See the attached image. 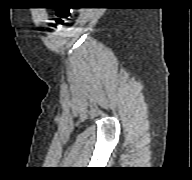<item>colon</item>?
I'll return each instance as SVG.
<instances>
[{
  "instance_id": "5ec220e1",
  "label": "colon",
  "mask_w": 192,
  "mask_h": 180,
  "mask_svg": "<svg viewBox=\"0 0 192 180\" xmlns=\"http://www.w3.org/2000/svg\"><path fill=\"white\" fill-rule=\"evenodd\" d=\"M73 17V10L59 9L56 15V21L60 24L68 23Z\"/></svg>"
}]
</instances>
